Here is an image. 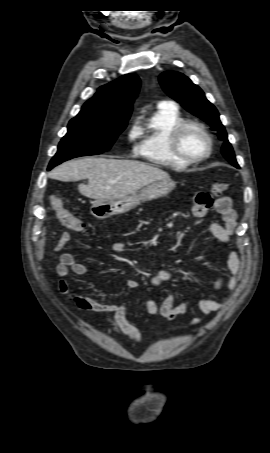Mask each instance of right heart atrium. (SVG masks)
<instances>
[{
  "label": "right heart atrium",
  "instance_id": "1",
  "mask_svg": "<svg viewBox=\"0 0 270 453\" xmlns=\"http://www.w3.org/2000/svg\"><path fill=\"white\" fill-rule=\"evenodd\" d=\"M140 135V129L136 124H133L128 132V139L130 142H134Z\"/></svg>",
  "mask_w": 270,
  "mask_h": 453
}]
</instances>
